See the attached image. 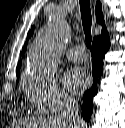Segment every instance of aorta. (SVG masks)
I'll use <instances>...</instances> for the list:
<instances>
[{
	"label": "aorta",
	"mask_w": 125,
	"mask_h": 128,
	"mask_svg": "<svg viewBox=\"0 0 125 128\" xmlns=\"http://www.w3.org/2000/svg\"><path fill=\"white\" fill-rule=\"evenodd\" d=\"M68 37L69 26L61 18L53 19L48 27L39 32L28 57L37 73H54Z\"/></svg>",
	"instance_id": "aorta-1"
}]
</instances>
